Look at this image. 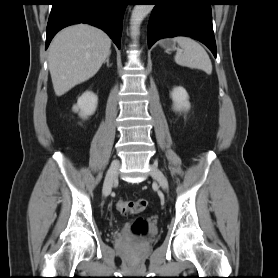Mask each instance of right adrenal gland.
<instances>
[{
    "label": "right adrenal gland",
    "mask_w": 278,
    "mask_h": 278,
    "mask_svg": "<svg viewBox=\"0 0 278 278\" xmlns=\"http://www.w3.org/2000/svg\"><path fill=\"white\" fill-rule=\"evenodd\" d=\"M109 57H110V56H108V57L106 58L105 62H104V63L107 64V67H110V66H111V65L109 64Z\"/></svg>",
    "instance_id": "obj_1"
}]
</instances>
